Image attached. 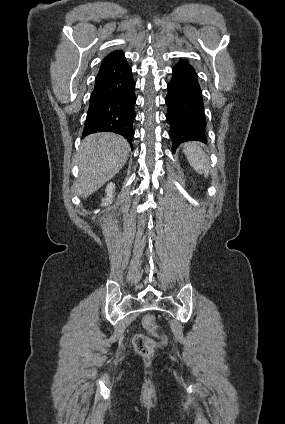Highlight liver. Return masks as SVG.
<instances>
[{"label": "liver", "mask_w": 285, "mask_h": 424, "mask_svg": "<svg viewBox=\"0 0 285 424\" xmlns=\"http://www.w3.org/2000/svg\"><path fill=\"white\" fill-rule=\"evenodd\" d=\"M130 146L114 133H95L81 143L77 193L86 198L115 176L127 161Z\"/></svg>", "instance_id": "liver-1"}]
</instances>
